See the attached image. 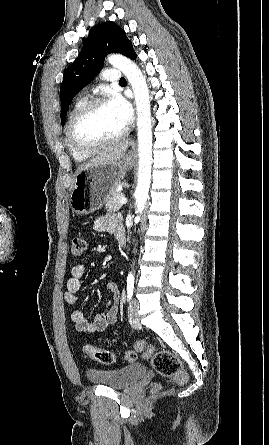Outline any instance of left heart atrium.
I'll return each instance as SVG.
<instances>
[{
    "instance_id": "left-heart-atrium-1",
    "label": "left heart atrium",
    "mask_w": 269,
    "mask_h": 445,
    "mask_svg": "<svg viewBox=\"0 0 269 445\" xmlns=\"http://www.w3.org/2000/svg\"><path fill=\"white\" fill-rule=\"evenodd\" d=\"M122 122L128 126L133 120V109L131 104L119 94H113L108 101Z\"/></svg>"
}]
</instances>
